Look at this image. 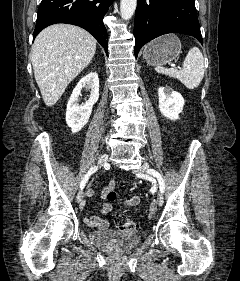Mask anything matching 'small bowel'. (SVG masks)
<instances>
[{"label": "small bowel", "mask_w": 240, "mask_h": 281, "mask_svg": "<svg viewBox=\"0 0 240 281\" xmlns=\"http://www.w3.org/2000/svg\"><path fill=\"white\" fill-rule=\"evenodd\" d=\"M109 186H115V179L112 178L108 184ZM86 195L88 197H93L94 196V191L93 190H88L86 192ZM140 202V197L139 196H126L125 197V204L127 206L133 207L138 205ZM85 202H82L80 205V209L83 210L85 208ZM111 211V204L108 202H104L100 207H99V214L98 215H92V216H86L84 218L85 223L91 227V228H98V229H106L108 227V221L103 217L104 215H107Z\"/></svg>", "instance_id": "1"}]
</instances>
